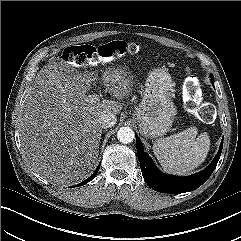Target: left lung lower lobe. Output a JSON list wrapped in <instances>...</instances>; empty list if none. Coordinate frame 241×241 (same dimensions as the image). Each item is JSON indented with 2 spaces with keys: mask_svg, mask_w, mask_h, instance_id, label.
Instances as JSON below:
<instances>
[{
  "mask_svg": "<svg viewBox=\"0 0 241 241\" xmlns=\"http://www.w3.org/2000/svg\"><path fill=\"white\" fill-rule=\"evenodd\" d=\"M136 144L142 175L147 184L155 191L171 194L189 192L204 184L215 169L223 148V142H221L216 157L205 170L182 178L163 174L144 152L143 145L138 137L136 138Z\"/></svg>",
  "mask_w": 241,
  "mask_h": 241,
  "instance_id": "1",
  "label": "left lung lower lobe"
}]
</instances>
